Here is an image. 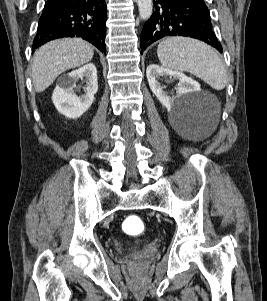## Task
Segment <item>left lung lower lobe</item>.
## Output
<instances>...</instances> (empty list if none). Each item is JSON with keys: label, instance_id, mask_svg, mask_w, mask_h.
<instances>
[{"label": "left lung lower lobe", "instance_id": "left-lung-lower-lobe-1", "mask_svg": "<svg viewBox=\"0 0 267 301\" xmlns=\"http://www.w3.org/2000/svg\"><path fill=\"white\" fill-rule=\"evenodd\" d=\"M154 3L153 15L141 33V54L151 43L166 36L196 38L222 53L203 0H154Z\"/></svg>", "mask_w": 267, "mask_h": 301}]
</instances>
